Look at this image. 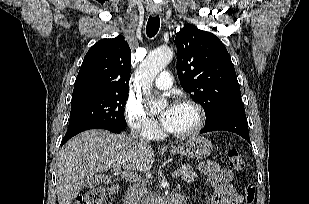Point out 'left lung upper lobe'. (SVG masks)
I'll return each mask as SVG.
<instances>
[{
  "label": "left lung upper lobe",
  "instance_id": "obj_1",
  "mask_svg": "<svg viewBox=\"0 0 309 204\" xmlns=\"http://www.w3.org/2000/svg\"><path fill=\"white\" fill-rule=\"evenodd\" d=\"M175 41L181 86L201 104L206 120L223 110L244 107L231 58L214 34L186 24Z\"/></svg>",
  "mask_w": 309,
  "mask_h": 204
}]
</instances>
